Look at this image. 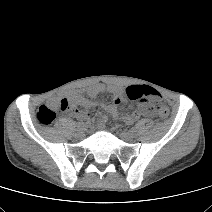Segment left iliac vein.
Instances as JSON below:
<instances>
[{
	"instance_id": "1",
	"label": "left iliac vein",
	"mask_w": 212,
	"mask_h": 212,
	"mask_svg": "<svg viewBox=\"0 0 212 212\" xmlns=\"http://www.w3.org/2000/svg\"><path fill=\"white\" fill-rule=\"evenodd\" d=\"M120 137L124 141H132L134 139V135L130 131H122L120 132Z\"/></svg>"
}]
</instances>
